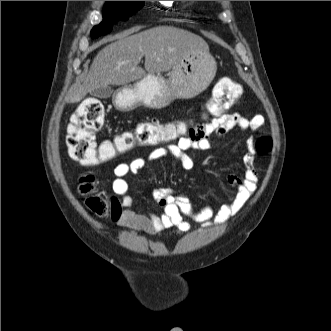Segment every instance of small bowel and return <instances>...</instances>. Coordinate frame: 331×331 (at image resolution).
<instances>
[{"label":"small bowel","instance_id":"1","mask_svg":"<svg viewBox=\"0 0 331 331\" xmlns=\"http://www.w3.org/2000/svg\"><path fill=\"white\" fill-rule=\"evenodd\" d=\"M264 117L255 114L246 118L238 112L213 117L205 123L192 126L186 135L177 139L175 143L165 144L152 151L146 158H136L130 162H122L114 167L112 189L121 198L123 211L120 212L118 222L122 227L135 231L155 233L175 227L179 232H187L190 222H198L203 227L221 225L235 216L247 203L257 187L258 175L254 167L255 149L248 140V152L244 156L245 173L243 176L230 174L228 183L235 188V192L228 198V202L215 208L213 205L195 207L187 197L174 195L168 188H158L154 197L162 208L160 214H142L134 211V200L129 191L125 177L136 174L150 162L165 156H171L183 167L191 164L189 150L208 151L213 148L212 137H222L228 131L239 128L255 131L264 124Z\"/></svg>","mask_w":331,"mask_h":331}]
</instances>
